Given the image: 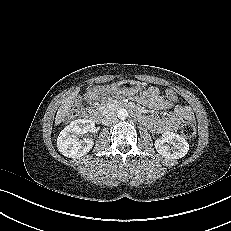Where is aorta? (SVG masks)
I'll return each instance as SVG.
<instances>
[{
	"label": "aorta",
	"mask_w": 231,
	"mask_h": 231,
	"mask_svg": "<svg viewBox=\"0 0 231 231\" xmlns=\"http://www.w3.org/2000/svg\"><path fill=\"white\" fill-rule=\"evenodd\" d=\"M117 116H118L119 119L124 120L128 116V111L126 109H124V108L119 109L118 112H117Z\"/></svg>",
	"instance_id": "762f6f07"
}]
</instances>
